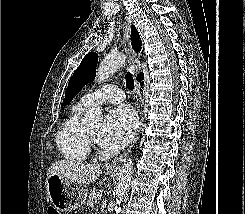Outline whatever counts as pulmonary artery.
<instances>
[{
	"instance_id": "pulmonary-artery-1",
	"label": "pulmonary artery",
	"mask_w": 245,
	"mask_h": 214,
	"mask_svg": "<svg viewBox=\"0 0 245 214\" xmlns=\"http://www.w3.org/2000/svg\"><path fill=\"white\" fill-rule=\"evenodd\" d=\"M124 92L115 85L108 84L97 90L85 94L81 98V103L86 106L100 104L105 102L119 103L123 101Z\"/></svg>"
}]
</instances>
